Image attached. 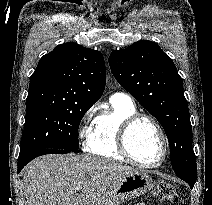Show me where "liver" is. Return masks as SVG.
I'll list each match as a JSON object with an SVG mask.
<instances>
[{"mask_svg":"<svg viewBox=\"0 0 212 205\" xmlns=\"http://www.w3.org/2000/svg\"><path fill=\"white\" fill-rule=\"evenodd\" d=\"M133 170L87 155L42 156L23 169L27 205H96L114 181Z\"/></svg>","mask_w":212,"mask_h":205,"instance_id":"liver-1","label":"liver"}]
</instances>
